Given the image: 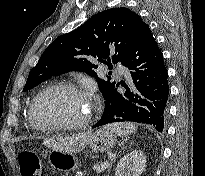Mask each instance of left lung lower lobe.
<instances>
[{"mask_svg": "<svg viewBox=\"0 0 205 176\" xmlns=\"http://www.w3.org/2000/svg\"><path fill=\"white\" fill-rule=\"evenodd\" d=\"M121 64L130 70L133 86H126L118 93L116 84L105 97L104 113L93 128L115 122H141L153 125L158 131L164 128L169 94L168 73L159 49L148 25H145Z\"/></svg>", "mask_w": 205, "mask_h": 176, "instance_id": "left-lung-lower-lobe-1", "label": "left lung lower lobe"}]
</instances>
